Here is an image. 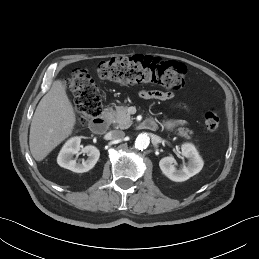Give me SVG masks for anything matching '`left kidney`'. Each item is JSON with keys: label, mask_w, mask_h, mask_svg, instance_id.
I'll return each instance as SVG.
<instances>
[{"label": "left kidney", "mask_w": 259, "mask_h": 259, "mask_svg": "<svg viewBox=\"0 0 259 259\" xmlns=\"http://www.w3.org/2000/svg\"><path fill=\"white\" fill-rule=\"evenodd\" d=\"M182 155L188 159V164L177 169L174 165V158L167 156L160 160L159 167L163 174L175 182H183L199 173L203 168V160L197 149L191 143H185L181 147Z\"/></svg>", "instance_id": "5707ae66"}]
</instances>
